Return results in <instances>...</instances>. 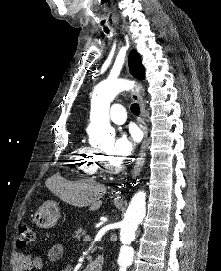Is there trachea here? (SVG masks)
<instances>
[{
	"instance_id": "1",
	"label": "trachea",
	"mask_w": 221,
	"mask_h": 271,
	"mask_svg": "<svg viewBox=\"0 0 221 271\" xmlns=\"http://www.w3.org/2000/svg\"><path fill=\"white\" fill-rule=\"evenodd\" d=\"M106 32H108V30L106 29L105 30ZM130 109H131V112L138 116L140 114V107L137 103H133L131 106H130Z\"/></svg>"
}]
</instances>
